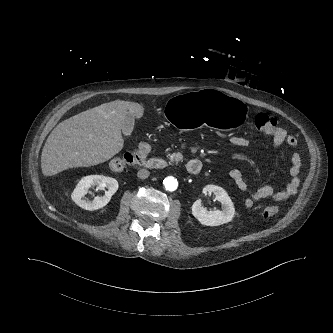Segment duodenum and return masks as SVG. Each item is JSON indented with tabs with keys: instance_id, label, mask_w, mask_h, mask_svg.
Listing matches in <instances>:
<instances>
[{
	"instance_id": "1",
	"label": "duodenum",
	"mask_w": 333,
	"mask_h": 333,
	"mask_svg": "<svg viewBox=\"0 0 333 333\" xmlns=\"http://www.w3.org/2000/svg\"><path fill=\"white\" fill-rule=\"evenodd\" d=\"M167 164V161L162 158H151L144 163V166L151 170H162L167 167ZM202 167V162L197 158H192L186 163V170L191 175H198Z\"/></svg>"
}]
</instances>
